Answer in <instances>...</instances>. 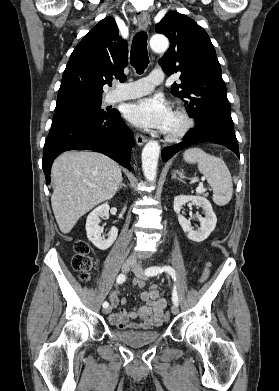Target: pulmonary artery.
Masks as SVG:
<instances>
[{"label":"pulmonary artery","mask_w":279,"mask_h":391,"mask_svg":"<svg viewBox=\"0 0 279 391\" xmlns=\"http://www.w3.org/2000/svg\"><path fill=\"white\" fill-rule=\"evenodd\" d=\"M163 80L164 76L161 71H152L143 79L125 84H118L117 88L108 95L107 101L115 103L140 97L151 92L153 88L162 83Z\"/></svg>","instance_id":"obj_1"}]
</instances>
